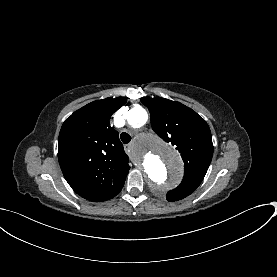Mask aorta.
Returning <instances> with one entry per match:
<instances>
[{"label": "aorta", "mask_w": 277, "mask_h": 277, "mask_svg": "<svg viewBox=\"0 0 277 277\" xmlns=\"http://www.w3.org/2000/svg\"><path fill=\"white\" fill-rule=\"evenodd\" d=\"M147 119L146 110L140 106L132 108L127 113V121L132 127L143 126ZM136 162L157 193L176 184L183 174V163L179 153L154 134L145 135L139 142Z\"/></svg>", "instance_id": "762f6f07"}]
</instances>
